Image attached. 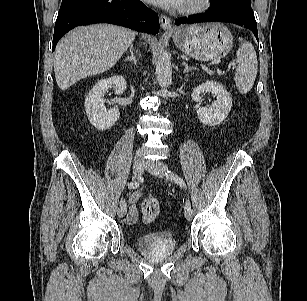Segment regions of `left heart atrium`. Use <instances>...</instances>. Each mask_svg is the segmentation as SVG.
I'll return each instance as SVG.
<instances>
[{
  "label": "left heart atrium",
  "instance_id": "1",
  "mask_svg": "<svg viewBox=\"0 0 307 301\" xmlns=\"http://www.w3.org/2000/svg\"><path fill=\"white\" fill-rule=\"evenodd\" d=\"M148 3H151L156 6L171 8V7H179L184 0H145Z\"/></svg>",
  "mask_w": 307,
  "mask_h": 301
}]
</instances>
